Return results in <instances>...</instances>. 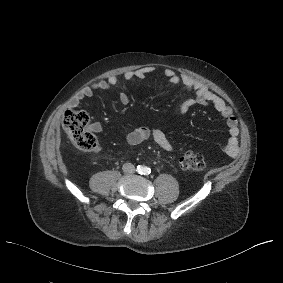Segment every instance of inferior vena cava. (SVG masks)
Returning <instances> with one entry per match:
<instances>
[{
    "instance_id": "602c4592",
    "label": "inferior vena cava",
    "mask_w": 283,
    "mask_h": 283,
    "mask_svg": "<svg viewBox=\"0 0 283 283\" xmlns=\"http://www.w3.org/2000/svg\"><path fill=\"white\" fill-rule=\"evenodd\" d=\"M122 170L125 172V173H134L135 171V167L132 163H125L123 164L122 166Z\"/></svg>"
}]
</instances>
